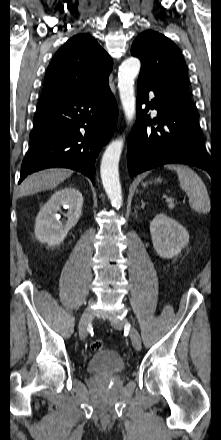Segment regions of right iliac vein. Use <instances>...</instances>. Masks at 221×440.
<instances>
[{"label": "right iliac vein", "instance_id": "right-iliac-vein-1", "mask_svg": "<svg viewBox=\"0 0 221 440\" xmlns=\"http://www.w3.org/2000/svg\"><path fill=\"white\" fill-rule=\"evenodd\" d=\"M93 313L90 308H88L82 315L79 323V336L81 340H84L87 336V329L92 320Z\"/></svg>", "mask_w": 221, "mask_h": 440}]
</instances>
